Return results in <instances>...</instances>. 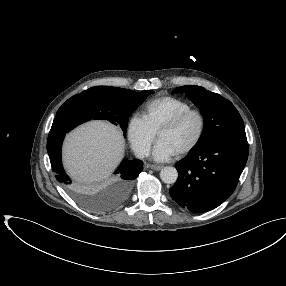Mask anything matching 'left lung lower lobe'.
<instances>
[{"instance_id": "0a47b994", "label": "left lung lower lobe", "mask_w": 286, "mask_h": 286, "mask_svg": "<svg viewBox=\"0 0 286 286\" xmlns=\"http://www.w3.org/2000/svg\"><path fill=\"white\" fill-rule=\"evenodd\" d=\"M247 140L220 139L189 151L176 163L178 179L170 195L194 213L210 211L234 192L247 162Z\"/></svg>"}]
</instances>
